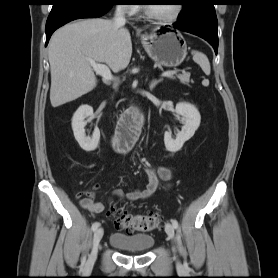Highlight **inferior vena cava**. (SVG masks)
<instances>
[{"label": "inferior vena cava", "mask_w": 278, "mask_h": 278, "mask_svg": "<svg viewBox=\"0 0 278 278\" xmlns=\"http://www.w3.org/2000/svg\"><path fill=\"white\" fill-rule=\"evenodd\" d=\"M125 7L123 5H118L115 11L113 22L117 26L124 25L126 20L124 17Z\"/></svg>", "instance_id": "inferior-vena-cava-1"}]
</instances>
